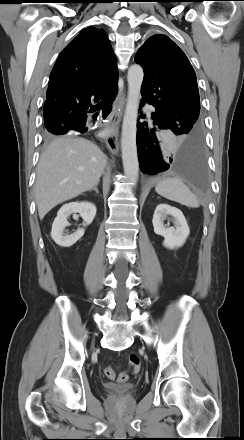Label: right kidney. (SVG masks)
I'll list each match as a JSON object with an SVG mask.
<instances>
[{"label":"right kidney","instance_id":"right-kidney-1","mask_svg":"<svg viewBox=\"0 0 244 440\" xmlns=\"http://www.w3.org/2000/svg\"><path fill=\"white\" fill-rule=\"evenodd\" d=\"M75 213H79L84 224L89 225L96 215V206L90 202H71L60 208L51 230V237L59 246L70 247L84 235L85 230L83 228L78 229L71 235L64 234L65 227L69 225L67 218Z\"/></svg>","mask_w":244,"mask_h":440}]
</instances>
